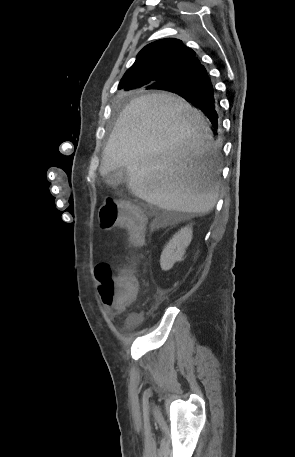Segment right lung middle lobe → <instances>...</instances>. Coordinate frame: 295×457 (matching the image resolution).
I'll use <instances>...</instances> for the list:
<instances>
[{
  "label": "right lung middle lobe",
  "mask_w": 295,
  "mask_h": 457,
  "mask_svg": "<svg viewBox=\"0 0 295 457\" xmlns=\"http://www.w3.org/2000/svg\"><path fill=\"white\" fill-rule=\"evenodd\" d=\"M148 89H149V88H148ZM167 91H171V92H173V90H167Z\"/></svg>",
  "instance_id": "right-lung-middle-lobe-1"
}]
</instances>
